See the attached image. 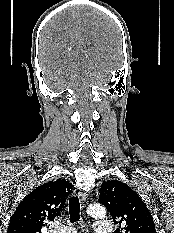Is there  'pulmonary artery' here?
<instances>
[{
	"label": "pulmonary artery",
	"mask_w": 174,
	"mask_h": 233,
	"mask_svg": "<svg viewBox=\"0 0 174 233\" xmlns=\"http://www.w3.org/2000/svg\"><path fill=\"white\" fill-rule=\"evenodd\" d=\"M94 229L96 233H112L114 231L112 222L108 220L96 221L94 224ZM50 233H76V231L71 227L61 225L50 231Z\"/></svg>",
	"instance_id": "1"
}]
</instances>
